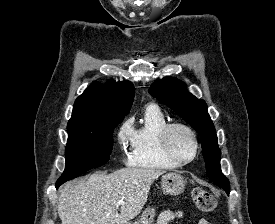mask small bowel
<instances>
[{"label":"small bowel","mask_w":275,"mask_h":224,"mask_svg":"<svg viewBox=\"0 0 275 224\" xmlns=\"http://www.w3.org/2000/svg\"><path fill=\"white\" fill-rule=\"evenodd\" d=\"M182 216L183 215L180 211L165 210L159 215L156 224H169L173 220L179 219ZM197 224H211V223L206 219H200L197 222Z\"/></svg>","instance_id":"small-bowel-1"}]
</instances>
